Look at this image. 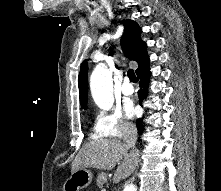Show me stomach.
<instances>
[{"label":"stomach","mask_w":221,"mask_h":191,"mask_svg":"<svg viewBox=\"0 0 221 191\" xmlns=\"http://www.w3.org/2000/svg\"><path fill=\"white\" fill-rule=\"evenodd\" d=\"M93 175L86 168L78 169L71 173V176L64 182L63 191H79L89 186Z\"/></svg>","instance_id":"obj_1"}]
</instances>
